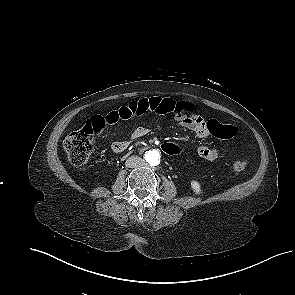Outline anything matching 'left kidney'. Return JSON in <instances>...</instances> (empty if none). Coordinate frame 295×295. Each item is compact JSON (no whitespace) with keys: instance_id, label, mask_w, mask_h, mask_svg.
Here are the masks:
<instances>
[{"instance_id":"5707ae66","label":"left kidney","mask_w":295,"mask_h":295,"mask_svg":"<svg viewBox=\"0 0 295 295\" xmlns=\"http://www.w3.org/2000/svg\"><path fill=\"white\" fill-rule=\"evenodd\" d=\"M191 188L195 192V194H200L201 193V186L198 181L192 180L191 181Z\"/></svg>"}]
</instances>
